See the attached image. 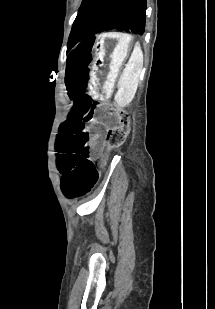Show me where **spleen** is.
Segmentation results:
<instances>
[{
	"label": "spleen",
	"mask_w": 215,
	"mask_h": 309,
	"mask_svg": "<svg viewBox=\"0 0 215 309\" xmlns=\"http://www.w3.org/2000/svg\"><path fill=\"white\" fill-rule=\"evenodd\" d=\"M142 66L143 52L139 42H136L126 68H124L118 82L119 88L115 96L118 106H128L129 102L133 100Z\"/></svg>",
	"instance_id": "1"
}]
</instances>
